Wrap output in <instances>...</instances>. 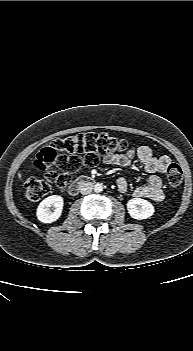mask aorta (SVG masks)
Wrapping results in <instances>:
<instances>
[{"instance_id":"obj_1","label":"aorta","mask_w":193,"mask_h":351,"mask_svg":"<svg viewBox=\"0 0 193 351\" xmlns=\"http://www.w3.org/2000/svg\"><path fill=\"white\" fill-rule=\"evenodd\" d=\"M94 191L96 193H100L103 191V185L101 183H97L94 185Z\"/></svg>"}]
</instances>
